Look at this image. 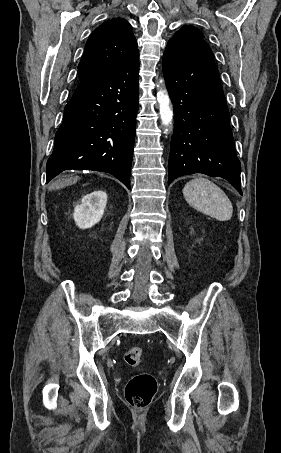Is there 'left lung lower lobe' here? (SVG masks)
Segmentation results:
<instances>
[{"instance_id": "left-lung-lower-lobe-1", "label": "left lung lower lobe", "mask_w": 281, "mask_h": 453, "mask_svg": "<svg viewBox=\"0 0 281 453\" xmlns=\"http://www.w3.org/2000/svg\"><path fill=\"white\" fill-rule=\"evenodd\" d=\"M163 74L174 105L168 184L182 175L203 173L227 179L242 195L241 165L212 51L171 38Z\"/></svg>"}]
</instances>
